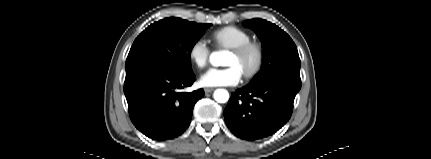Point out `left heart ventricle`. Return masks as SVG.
<instances>
[{"label":"left heart ventricle","instance_id":"obj_1","mask_svg":"<svg viewBox=\"0 0 431 159\" xmlns=\"http://www.w3.org/2000/svg\"><path fill=\"white\" fill-rule=\"evenodd\" d=\"M251 63L250 59L241 60L236 57L232 52L228 54L225 64L227 66H237L241 72H243L246 68L249 67Z\"/></svg>","mask_w":431,"mask_h":159}]
</instances>
